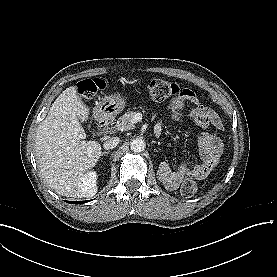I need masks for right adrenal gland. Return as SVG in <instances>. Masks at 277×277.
I'll return each mask as SVG.
<instances>
[{
    "label": "right adrenal gland",
    "mask_w": 277,
    "mask_h": 277,
    "mask_svg": "<svg viewBox=\"0 0 277 277\" xmlns=\"http://www.w3.org/2000/svg\"><path fill=\"white\" fill-rule=\"evenodd\" d=\"M109 153H110V151H104V152L101 153V156L108 155Z\"/></svg>",
    "instance_id": "right-adrenal-gland-1"
}]
</instances>
